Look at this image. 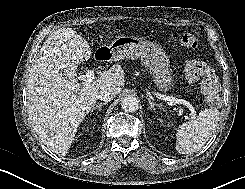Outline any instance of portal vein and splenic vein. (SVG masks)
<instances>
[{"label": "portal vein and splenic vein", "mask_w": 245, "mask_h": 189, "mask_svg": "<svg viewBox=\"0 0 245 189\" xmlns=\"http://www.w3.org/2000/svg\"><path fill=\"white\" fill-rule=\"evenodd\" d=\"M77 79L80 80V81H83V84H89L95 79L94 71L93 70H88L86 75H80V76L77 77ZM156 96L159 99H162L164 101H169V102L174 103V104H178V105H182L183 104L187 108L190 109L193 117H195L197 115L194 107L187 100L179 99V98H175V97H171V96H165V95H161L159 93H157Z\"/></svg>", "instance_id": "18ae733b"}]
</instances>
